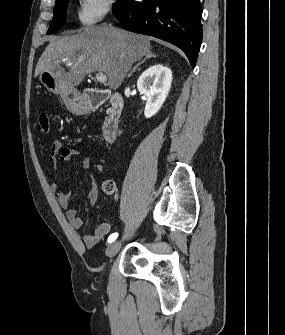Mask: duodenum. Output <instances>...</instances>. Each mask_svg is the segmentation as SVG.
<instances>
[{
	"mask_svg": "<svg viewBox=\"0 0 285 335\" xmlns=\"http://www.w3.org/2000/svg\"><path fill=\"white\" fill-rule=\"evenodd\" d=\"M107 103L108 108L102 125L103 138L112 143L115 141L121 121L123 99L119 93L108 90L88 89L80 102L84 112H90Z\"/></svg>",
	"mask_w": 285,
	"mask_h": 335,
	"instance_id": "410a0bca",
	"label": "duodenum"
}]
</instances>
